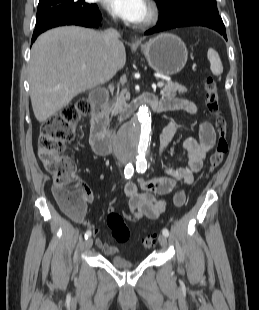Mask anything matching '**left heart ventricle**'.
Returning a JSON list of instances; mask_svg holds the SVG:
<instances>
[{"instance_id":"1","label":"left heart ventricle","mask_w":259,"mask_h":310,"mask_svg":"<svg viewBox=\"0 0 259 310\" xmlns=\"http://www.w3.org/2000/svg\"><path fill=\"white\" fill-rule=\"evenodd\" d=\"M147 16H148V8H147V5H146L145 11H144V14H143V17H142V20L140 22L144 21L147 18Z\"/></svg>"}]
</instances>
